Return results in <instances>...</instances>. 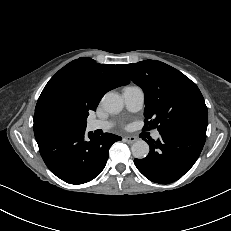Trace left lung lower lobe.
Masks as SVG:
<instances>
[{
  "label": "left lung lower lobe",
  "mask_w": 231,
  "mask_h": 231,
  "mask_svg": "<svg viewBox=\"0 0 231 231\" xmlns=\"http://www.w3.org/2000/svg\"><path fill=\"white\" fill-rule=\"evenodd\" d=\"M157 141L148 140L150 152L144 159H135L137 169L149 180L169 184L187 173L198 159L206 129L182 126L159 132Z\"/></svg>",
  "instance_id": "left-lung-lower-lobe-1"
}]
</instances>
